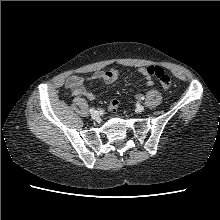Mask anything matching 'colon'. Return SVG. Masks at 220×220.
Masks as SVG:
<instances>
[{
  "instance_id": "1",
  "label": "colon",
  "mask_w": 220,
  "mask_h": 220,
  "mask_svg": "<svg viewBox=\"0 0 220 220\" xmlns=\"http://www.w3.org/2000/svg\"><path fill=\"white\" fill-rule=\"evenodd\" d=\"M147 72L152 77H155L159 80L161 87L164 90H169L172 87V80L170 76L158 66H149L147 67ZM120 102L118 99H112L108 105L110 111H115L119 107Z\"/></svg>"
}]
</instances>
